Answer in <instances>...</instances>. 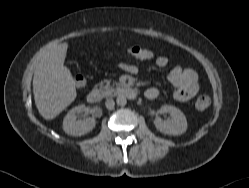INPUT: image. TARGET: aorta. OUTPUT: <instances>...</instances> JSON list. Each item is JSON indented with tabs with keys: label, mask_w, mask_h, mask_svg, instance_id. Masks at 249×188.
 I'll return each instance as SVG.
<instances>
[{
	"label": "aorta",
	"mask_w": 249,
	"mask_h": 188,
	"mask_svg": "<svg viewBox=\"0 0 249 188\" xmlns=\"http://www.w3.org/2000/svg\"><path fill=\"white\" fill-rule=\"evenodd\" d=\"M116 103L118 106H125L127 103V99L123 95H119L116 99Z\"/></svg>",
	"instance_id": "aorta-1"
}]
</instances>
